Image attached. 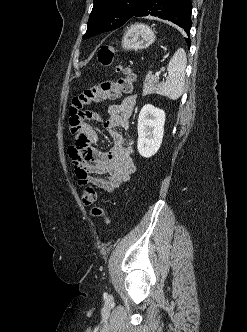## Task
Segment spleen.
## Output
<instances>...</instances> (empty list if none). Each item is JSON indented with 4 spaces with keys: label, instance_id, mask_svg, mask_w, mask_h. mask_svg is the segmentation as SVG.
<instances>
[{
    "label": "spleen",
    "instance_id": "3e777b00",
    "mask_svg": "<svg viewBox=\"0 0 247 332\" xmlns=\"http://www.w3.org/2000/svg\"><path fill=\"white\" fill-rule=\"evenodd\" d=\"M187 59L184 49L179 48L167 65L168 77L159 84L157 93L171 100L178 99L184 90Z\"/></svg>",
    "mask_w": 247,
    "mask_h": 332
}]
</instances>
